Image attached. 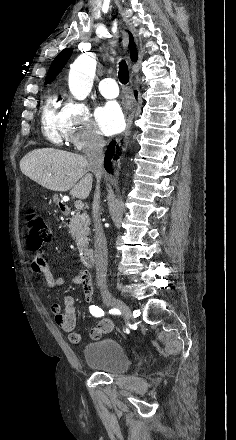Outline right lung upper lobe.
<instances>
[{
    "label": "right lung upper lobe",
    "instance_id": "obj_1",
    "mask_svg": "<svg viewBox=\"0 0 236 440\" xmlns=\"http://www.w3.org/2000/svg\"><path fill=\"white\" fill-rule=\"evenodd\" d=\"M129 45L131 48V59L133 61H136L138 54H137L136 45L134 43V40H133L131 33H129ZM71 54H72V49H65L56 56V58L52 62L51 66L49 68V71L47 73L46 80H45L46 84H49L50 82H52L54 80V78L59 74L61 69L65 66V64L68 61Z\"/></svg>",
    "mask_w": 236,
    "mask_h": 440
}]
</instances>
